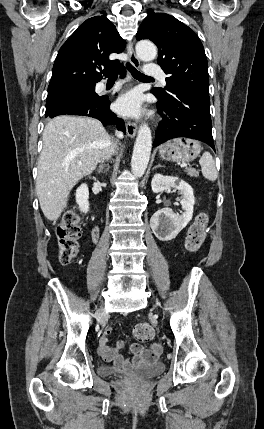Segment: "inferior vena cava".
I'll list each match as a JSON object with an SVG mask.
<instances>
[{
    "label": "inferior vena cava",
    "mask_w": 264,
    "mask_h": 429,
    "mask_svg": "<svg viewBox=\"0 0 264 429\" xmlns=\"http://www.w3.org/2000/svg\"><path fill=\"white\" fill-rule=\"evenodd\" d=\"M116 136L118 138H123V133L120 131H116ZM116 144H110L109 147L105 150L103 155L101 156V162H104V160H109L111 156L115 153Z\"/></svg>",
    "instance_id": "602c4592"
}]
</instances>
